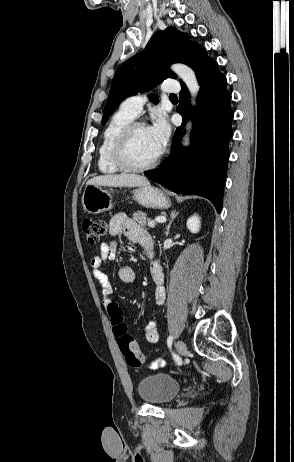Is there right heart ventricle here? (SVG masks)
<instances>
[{
    "label": "right heart ventricle",
    "instance_id": "right-heart-ventricle-1",
    "mask_svg": "<svg viewBox=\"0 0 294 462\" xmlns=\"http://www.w3.org/2000/svg\"><path fill=\"white\" fill-rule=\"evenodd\" d=\"M135 116L126 111L122 106L113 114L108 124L106 125L102 139L98 148V169L103 174H115L121 172L112 161L111 150L113 143L120 131L130 122Z\"/></svg>",
    "mask_w": 294,
    "mask_h": 462
}]
</instances>
